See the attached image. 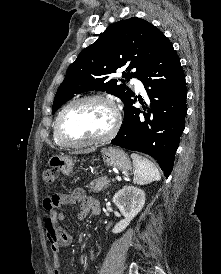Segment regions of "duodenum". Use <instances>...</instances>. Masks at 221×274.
<instances>
[{
	"label": "duodenum",
	"mask_w": 221,
	"mask_h": 274,
	"mask_svg": "<svg viewBox=\"0 0 221 274\" xmlns=\"http://www.w3.org/2000/svg\"><path fill=\"white\" fill-rule=\"evenodd\" d=\"M99 212H100L99 209L95 210V214H99Z\"/></svg>",
	"instance_id": "1"
}]
</instances>
